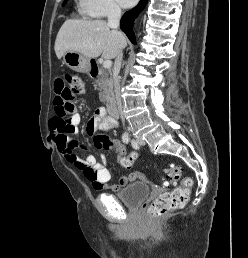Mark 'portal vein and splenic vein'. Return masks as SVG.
I'll use <instances>...</instances> for the list:
<instances>
[{
  "label": "portal vein and splenic vein",
  "instance_id": "18ae733b",
  "mask_svg": "<svg viewBox=\"0 0 248 258\" xmlns=\"http://www.w3.org/2000/svg\"><path fill=\"white\" fill-rule=\"evenodd\" d=\"M111 66H112L111 60L108 59V60L104 61V63H103L104 68L109 69Z\"/></svg>",
  "mask_w": 248,
  "mask_h": 258
}]
</instances>
